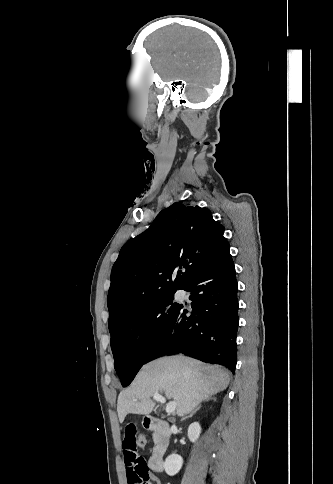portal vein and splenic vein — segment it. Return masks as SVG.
I'll list each match as a JSON object with an SVG mask.
<instances>
[{"label": "portal vein and splenic vein", "mask_w": 333, "mask_h": 484, "mask_svg": "<svg viewBox=\"0 0 333 484\" xmlns=\"http://www.w3.org/2000/svg\"><path fill=\"white\" fill-rule=\"evenodd\" d=\"M153 399L158 401V402H161V403L166 402L165 397H163L162 395H160L158 393H155L153 395ZM175 410H176V402L175 401H171L166 405V408H165L166 413L171 414V413H174Z\"/></svg>", "instance_id": "18ae733b"}]
</instances>
